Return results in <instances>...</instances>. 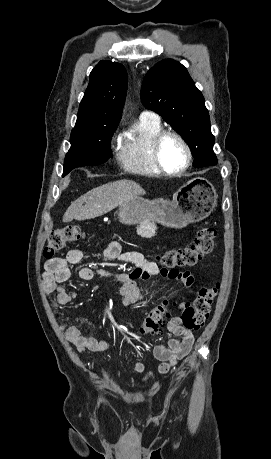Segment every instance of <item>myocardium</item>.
<instances>
[{
    "instance_id": "1",
    "label": "myocardium",
    "mask_w": 271,
    "mask_h": 459,
    "mask_svg": "<svg viewBox=\"0 0 271 459\" xmlns=\"http://www.w3.org/2000/svg\"><path fill=\"white\" fill-rule=\"evenodd\" d=\"M170 135L178 137L183 142V144H184V146H185V148L187 150V153H188V160H187L186 165L183 168L178 169V170H172V169L168 168L164 164V162L162 160V156H161V144H162L163 140L167 136H170ZM152 159H153V162L155 163V165L164 174H166L168 176H180V175H183L184 173H186L191 168V166L193 164V161H194V152H193V149H192V146H191L190 142L188 141V139L181 132H179L178 130H175V129H163L160 132H158L153 138V141H152Z\"/></svg>"
}]
</instances>
